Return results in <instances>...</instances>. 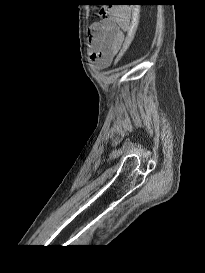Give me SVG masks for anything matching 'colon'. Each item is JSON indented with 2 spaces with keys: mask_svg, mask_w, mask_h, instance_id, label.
<instances>
[{
  "mask_svg": "<svg viewBox=\"0 0 205 273\" xmlns=\"http://www.w3.org/2000/svg\"><path fill=\"white\" fill-rule=\"evenodd\" d=\"M137 27H138V19L135 16L132 23L130 24L124 47H123V49L121 50L120 54L117 57V60H116L117 63L120 62L125 57V55L127 54L128 50H129V48L131 46V43H132V41H133V39L135 37Z\"/></svg>",
  "mask_w": 205,
  "mask_h": 273,
  "instance_id": "1",
  "label": "colon"
}]
</instances>
